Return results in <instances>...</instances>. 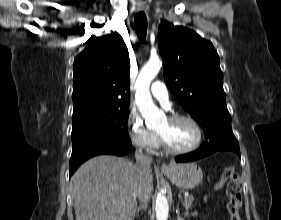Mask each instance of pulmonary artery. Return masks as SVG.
Here are the masks:
<instances>
[{
    "instance_id": "pulmonary-artery-1",
    "label": "pulmonary artery",
    "mask_w": 281,
    "mask_h": 220,
    "mask_svg": "<svg viewBox=\"0 0 281 220\" xmlns=\"http://www.w3.org/2000/svg\"><path fill=\"white\" fill-rule=\"evenodd\" d=\"M151 93L153 97L160 102L165 108L170 107L169 93L166 85L161 81H155L151 85Z\"/></svg>"
}]
</instances>
